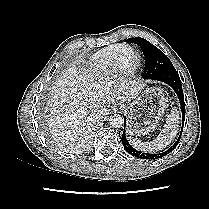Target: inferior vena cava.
<instances>
[{"label":"inferior vena cava","instance_id":"1","mask_svg":"<svg viewBox=\"0 0 209 209\" xmlns=\"http://www.w3.org/2000/svg\"><path fill=\"white\" fill-rule=\"evenodd\" d=\"M94 114L96 117H101L102 116V109L101 108H95L94 109Z\"/></svg>","mask_w":209,"mask_h":209}]
</instances>
